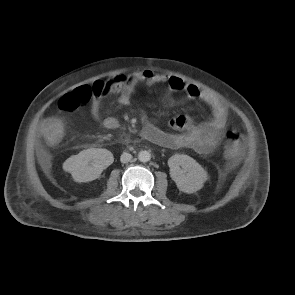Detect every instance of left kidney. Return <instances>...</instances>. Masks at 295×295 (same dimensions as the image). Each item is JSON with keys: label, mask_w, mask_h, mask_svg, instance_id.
<instances>
[{"label": "left kidney", "mask_w": 295, "mask_h": 295, "mask_svg": "<svg viewBox=\"0 0 295 295\" xmlns=\"http://www.w3.org/2000/svg\"><path fill=\"white\" fill-rule=\"evenodd\" d=\"M168 166L172 180L184 193L191 194L200 190L207 179L204 168L188 155H173L168 160Z\"/></svg>", "instance_id": "5707ae66"}]
</instances>
